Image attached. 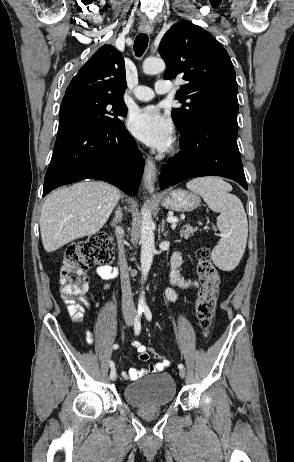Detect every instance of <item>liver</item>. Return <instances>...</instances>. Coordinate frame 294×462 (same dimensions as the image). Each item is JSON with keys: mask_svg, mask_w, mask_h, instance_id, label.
<instances>
[{"mask_svg": "<svg viewBox=\"0 0 294 462\" xmlns=\"http://www.w3.org/2000/svg\"><path fill=\"white\" fill-rule=\"evenodd\" d=\"M121 197L102 181L77 183L53 192L44 202L40 232L44 249L53 252L78 238L97 233Z\"/></svg>", "mask_w": 294, "mask_h": 462, "instance_id": "6515ba94", "label": "liver"}]
</instances>
